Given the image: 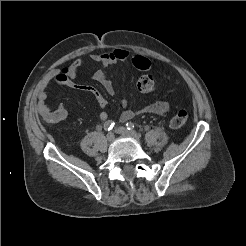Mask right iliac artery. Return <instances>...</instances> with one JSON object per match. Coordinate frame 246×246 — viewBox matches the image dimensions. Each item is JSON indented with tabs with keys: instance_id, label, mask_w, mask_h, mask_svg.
<instances>
[{
	"instance_id": "1",
	"label": "right iliac artery",
	"mask_w": 246,
	"mask_h": 246,
	"mask_svg": "<svg viewBox=\"0 0 246 246\" xmlns=\"http://www.w3.org/2000/svg\"><path fill=\"white\" fill-rule=\"evenodd\" d=\"M114 124H115V123H114L112 120H108V121H106V122L104 123V129H105L106 131H110V130L113 129Z\"/></svg>"
}]
</instances>
